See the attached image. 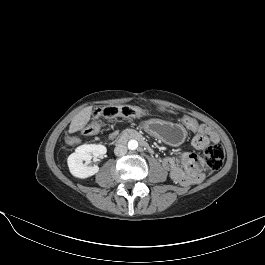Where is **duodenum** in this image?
<instances>
[{"mask_svg": "<svg viewBox=\"0 0 265 265\" xmlns=\"http://www.w3.org/2000/svg\"><path fill=\"white\" fill-rule=\"evenodd\" d=\"M131 139L137 140L141 143L143 148L148 152V153H153V150L151 146L146 142L144 137L141 135V133L137 131H126L124 132L116 141L117 144H123Z\"/></svg>", "mask_w": 265, "mask_h": 265, "instance_id": "1", "label": "duodenum"}]
</instances>
